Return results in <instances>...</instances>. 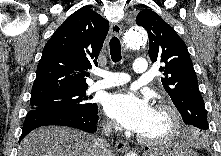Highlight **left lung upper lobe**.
<instances>
[{
	"label": "left lung upper lobe",
	"mask_w": 221,
	"mask_h": 156,
	"mask_svg": "<svg viewBox=\"0 0 221 156\" xmlns=\"http://www.w3.org/2000/svg\"><path fill=\"white\" fill-rule=\"evenodd\" d=\"M136 23L148 32L151 61L163 63L160 67L163 72L161 82L183 121L200 130H207L204 101L185 43L176 31L152 10L139 12Z\"/></svg>",
	"instance_id": "1"
}]
</instances>
